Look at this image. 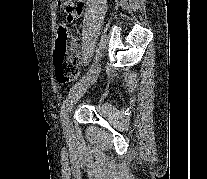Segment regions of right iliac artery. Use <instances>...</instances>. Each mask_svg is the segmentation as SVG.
Masks as SVG:
<instances>
[{"mask_svg": "<svg viewBox=\"0 0 207 179\" xmlns=\"http://www.w3.org/2000/svg\"><path fill=\"white\" fill-rule=\"evenodd\" d=\"M97 52V56H96V62L98 61V58H99V49L96 50ZM94 72V69L93 67L90 69V74ZM88 79V75L87 76H84L79 82H77L76 84L73 85V87L70 89L69 91V94L67 96V98L65 99V101L63 102V105L61 107V113H60V116L62 118V121H63V117H64V114H65V109L68 105V101L69 99L72 97V95L76 92V90L82 85V83H84L86 80Z\"/></svg>", "mask_w": 207, "mask_h": 179, "instance_id": "82829eb1", "label": "right iliac artery"}]
</instances>
